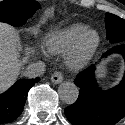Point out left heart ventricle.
Returning <instances> with one entry per match:
<instances>
[{"label": "left heart ventricle", "instance_id": "left-heart-ventricle-1", "mask_svg": "<svg viewBox=\"0 0 125 125\" xmlns=\"http://www.w3.org/2000/svg\"><path fill=\"white\" fill-rule=\"evenodd\" d=\"M94 37L93 36H90L88 39H87V43H91L93 41Z\"/></svg>", "mask_w": 125, "mask_h": 125}]
</instances>
